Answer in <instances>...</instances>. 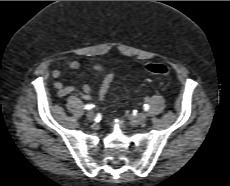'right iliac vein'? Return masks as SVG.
<instances>
[{"label":"right iliac vein","mask_w":230,"mask_h":186,"mask_svg":"<svg viewBox=\"0 0 230 186\" xmlns=\"http://www.w3.org/2000/svg\"><path fill=\"white\" fill-rule=\"evenodd\" d=\"M86 117L89 121H93L95 119V114L93 111H89L87 114H86Z\"/></svg>","instance_id":"1"}]
</instances>
